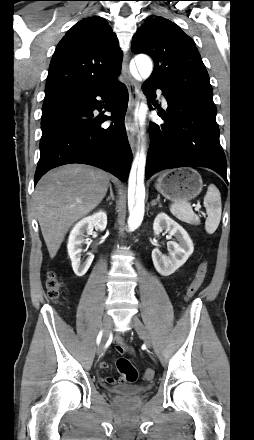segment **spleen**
Returning <instances> with one entry per match:
<instances>
[{
  "label": "spleen",
  "instance_id": "obj_1",
  "mask_svg": "<svg viewBox=\"0 0 254 440\" xmlns=\"http://www.w3.org/2000/svg\"><path fill=\"white\" fill-rule=\"evenodd\" d=\"M204 207L207 212L205 230L208 234L216 231L222 213L221 195L214 184H210L204 197ZM171 213L179 220L189 224H199V217L193 212L190 203L185 201L175 202L170 206Z\"/></svg>",
  "mask_w": 254,
  "mask_h": 440
}]
</instances>
